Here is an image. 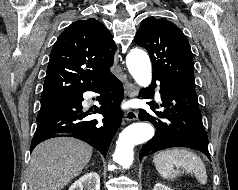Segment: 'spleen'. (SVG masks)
I'll use <instances>...</instances> for the list:
<instances>
[{"label":"spleen","instance_id":"3e777b00","mask_svg":"<svg viewBox=\"0 0 238 190\" xmlns=\"http://www.w3.org/2000/svg\"><path fill=\"white\" fill-rule=\"evenodd\" d=\"M153 162L158 173L167 180H173L180 174V170H174V165L177 168L188 172H193L195 178L201 185L207 183L206 168L201 158L187 149H167L160 151L153 157Z\"/></svg>","mask_w":238,"mask_h":190}]
</instances>
